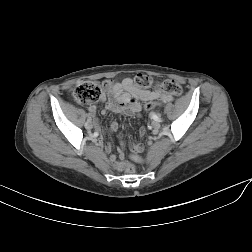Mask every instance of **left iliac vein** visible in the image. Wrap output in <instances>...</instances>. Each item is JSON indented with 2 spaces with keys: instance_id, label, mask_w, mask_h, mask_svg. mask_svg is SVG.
I'll use <instances>...</instances> for the list:
<instances>
[{
  "instance_id": "4c4485c4",
  "label": "left iliac vein",
  "mask_w": 252,
  "mask_h": 252,
  "mask_svg": "<svg viewBox=\"0 0 252 252\" xmlns=\"http://www.w3.org/2000/svg\"><path fill=\"white\" fill-rule=\"evenodd\" d=\"M151 125H152L153 129H155V130L160 128V123L158 121H153L151 123Z\"/></svg>"
}]
</instances>
